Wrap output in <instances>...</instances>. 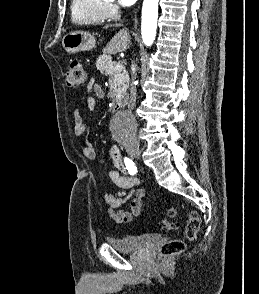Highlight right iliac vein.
Masks as SVG:
<instances>
[{
	"instance_id": "63e3f726",
	"label": "right iliac vein",
	"mask_w": 259,
	"mask_h": 294,
	"mask_svg": "<svg viewBox=\"0 0 259 294\" xmlns=\"http://www.w3.org/2000/svg\"><path fill=\"white\" fill-rule=\"evenodd\" d=\"M128 152H129V155L132 158L140 160V150H139V148H131V149H129Z\"/></svg>"
}]
</instances>
